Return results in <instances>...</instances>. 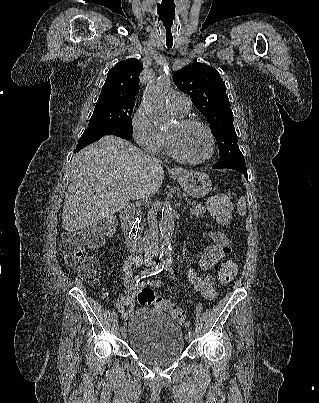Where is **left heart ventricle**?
<instances>
[{"label": "left heart ventricle", "instance_id": "b2bd125f", "mask_svg": "<svg viewBox=\"0 0 319 403\" xmlns=\"http://www.w3.org/2000/svg\"><path fill=\"white\" fill-rule=\"evenodd\" d=\"M178 151L186 158L198 160L207 155L210 141L206 131L200 126L181 127L176 121L166 132Z\"/></svg>", "mask_w": 319, "mask_h": 403}]
</instances>
